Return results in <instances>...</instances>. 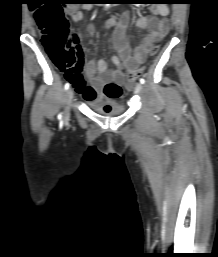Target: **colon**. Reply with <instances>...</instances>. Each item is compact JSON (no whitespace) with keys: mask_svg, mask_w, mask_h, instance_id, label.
Returning <instances> with one entry per match:
<instances>
[{"mask_svg":"<svg viewBox=\"0 0 218 257\" xmlns=\"http://www.w3.org/2000/svg\"><path fill=\"white\" fill-rule=\"evenodd\" d=\"M62 10H68V5H41L35 10V19L42 35V44L56 64L65 71L68 78L79 79L82 70V52L79 37L70 35L68 21ZM158 50L152 49V54ZM143 68H137L127 76V88L141 75ZM102 98H122L126 89L116 82L102 83Z\"/></svg>","mask_w":218,"mask_h":257,"instance_id":"1","label":"colon"}]
</instances>
